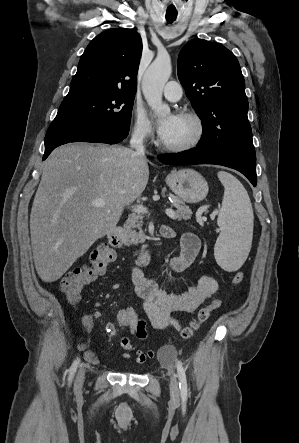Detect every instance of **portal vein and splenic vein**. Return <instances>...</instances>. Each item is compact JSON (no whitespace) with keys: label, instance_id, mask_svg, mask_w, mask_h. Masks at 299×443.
<instances>
[{"label":"portal vein and splenic vein","instance_id":"18ae733b","mask_svg":"<svg viewBox=\"0 0 299 443\" xmlns=\"http://www.w3.org/2000/svg\"><path fill=\"white\" fill-rule=\"evenodd\" d=\"M92 205L95 207H103L105 206V200L102 198L95 199L92 201ZM204 208H207V206H205ZM133 210L138 213H147V208L143 207L142 205L136 206ZM165 213L171 218H173L175 214L174 211L170 208L166 209Z\"/></svg>","mask_w":299,"mask_h":443}]
</instances>
